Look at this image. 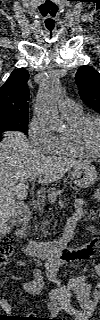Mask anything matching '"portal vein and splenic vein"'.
I'll return each instance as SVG.
<instances>
[{
	"label": "portal vein and splenic vein",
	"instance_id": "1",
	"mask_svg": "<svg viewBox=\"0 0 100 320\" xmlns=\"http://www.w3.org/2000/svg\"><path fill=\"white\" fill-rule=\"evenodd\" d=\"M36 178H30L28 179L29 182L34 181ZM23 180V179H22ZM63 193V190H59L57 192H49L47 194L48 200L51 202H55L57 199V196H60Z\"/></svg>",
	"mask_w": 100,
	"mask_h": 320
}]
</instances>
